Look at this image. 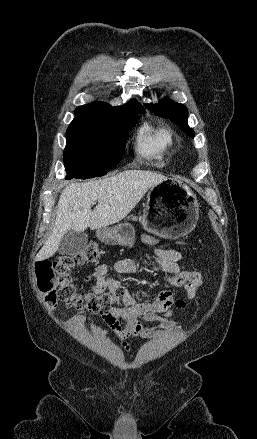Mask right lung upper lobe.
<instances>
[{"mask_svg":"<svg viewBox=\"0 0 257 439\" xmlns=\"http://www.w3.org/2000/svg\"><path fill=\"white\" fill-rule=\"evenodd\" d=\"M144 107L136 99L130 100L128 104L120 107H112L107 103L93 102L88 105L79 106L75 110V118H101L107 120H119L129 113L143 112Z\"/></svg>","mask_w":257,"mask_h":439,"instance_id":"obj_1","label":"right lung upper lobe"}]
</instances>
